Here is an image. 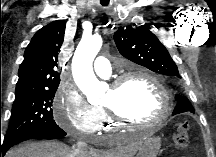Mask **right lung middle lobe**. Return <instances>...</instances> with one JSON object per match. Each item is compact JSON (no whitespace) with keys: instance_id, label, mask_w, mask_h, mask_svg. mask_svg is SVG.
<instances>
[{"instance_id":"obj_1","label":"right lung middle lobe","mask_w":216,"mask_h":157,"mask_svg":"<svg viewBox=\"0 0 216 157\" xmlns=\"http://www.w3.org/2000/svg\"><path fill=\"white\" fill-rule=\"evenodd\" d=\"M57 88L27 91L15 96L9 127L2 144L32 132L59 128L51 108Z\"/></svg>"}]
</instances>
